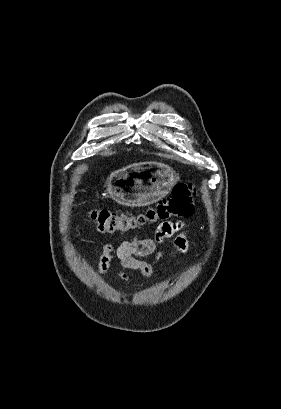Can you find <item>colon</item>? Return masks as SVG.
<instances>
[{
  "label": "colon",
  "instance_id": "colon-1",
  "mask_svg": "<svg viewBox=\"0 0 281 409\" xmlns=\"http://www.w3.org/2000/svg\"><path fill=\"white\" fill-rule=\"evenodd\" d=\"M195 192L196 189L192 185L179 184L168 197L145 211L130 213L107 209L92 210L88 213V219L104 233H131L148 224L191 215Z\"/></svg>",
  "mask_w": 281,
  "mask_h": 409
}]
</instances>
